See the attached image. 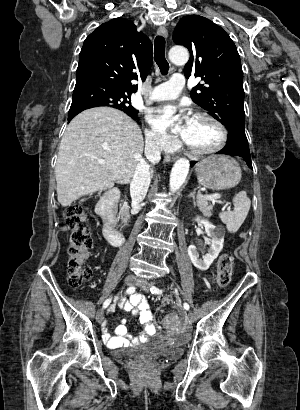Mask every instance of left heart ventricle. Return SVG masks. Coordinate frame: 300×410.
<instances>
[{"instance_id": "left-heart-ventricle-1", "label": "left heart ventricle", "mask_w": 300, "mask_h": 410, "mask_svg": "<svg viewBox=\"0 0 300 410\" xmlns=\"http://www.w3.org/2000/svg\"><path fill=\"white\" fill-rule=\"evenodd\" d=\"M221 140L219 128L206 119L194 118L186 142L198 149H210Z\"/></svg>"}]
</instances>
